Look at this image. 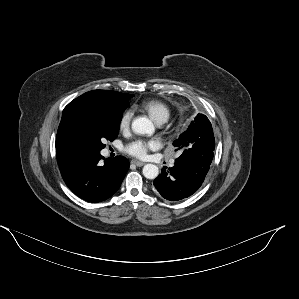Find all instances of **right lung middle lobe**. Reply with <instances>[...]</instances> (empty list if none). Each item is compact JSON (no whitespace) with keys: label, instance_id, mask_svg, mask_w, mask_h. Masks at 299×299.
<instances>
[{"label":"right lung middle lobe","instance_id":"1","mask_svg":"<svg viewBox=\"0 0 299 299\" xmlns=\"http://www.w3.org/2000/svg\"><path fill=\"white\" fill-rule=\"evenodd\" d=\"M131 98L113 108L83 105L73 110L66 123V133L73 147L82 154L100 152L105 140L113 141L117 137L123 111Z\"/></svg>","mask_w":299,"mask_h":299}]
</instances>
